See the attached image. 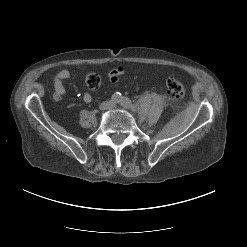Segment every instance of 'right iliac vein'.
<instances>
[{"instance_id":"63e3f726","label":"right iliac vein","mask_w":247,"mask_h":247,"mask_svg":"<svg viewBox=\"0 0 247 247\" xmlns=\"http://www.w3.org/2000/svg\"><path fill=\"white\" fill-rule=\"evenodd\" d=\"M109 106H110L109 102H103L99 108L100 110H106L107 108H109Z\"/></svg>"}]
</instances>
